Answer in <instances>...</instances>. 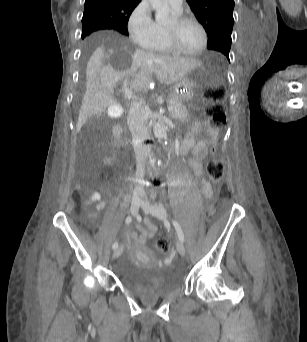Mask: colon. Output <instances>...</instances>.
<instances>
[{
    "label": "colon",
    "mask_w": 307,
    "mask_h": 342,
    "mask_svg": "<svg viewBox=\"0 0 307 342\" xmlns=\"http://www.w3.org/2000/svg\"><path fill=\"white\" fill-rule=\"evenodd\" d=\"M205 93L207 94L205 115L209 119L211 126L215 129L226 128L228 125V118L225 113L223 102L225 100V94H229V87H206ZM206 172L214 182L223 179L224 165L217 158V150L215 148L211 150V157L206 163ZM157 249L163 254L168 253L170 244L166 239H160L157 242Z\"/></svg>",
    "instance_id": "colon-1"
}]
</instances>
